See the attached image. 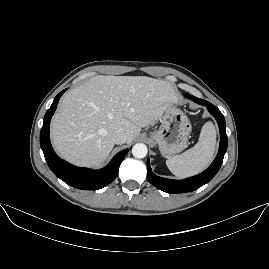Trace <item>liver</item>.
Here are the masks:
<instances>
[{
    "mask_svg": "<svg viewBox=\"0 0 269 269\" xmlns=\"http://www.w3.org/2000/svg\"><path fill=\"white\" fill-rule=\"evenodd\" d=\"M178 101L173 86L146 76L92 77L68 91L51 122V139L60 157L77 166L99 168L123 130L131 143L164 108Z\"/></svg>",
    "mask_w": 269,
    "mask_h": 269,
    "instance_id": "6515ba94",
    "label": "liver"
}]
</instances>
